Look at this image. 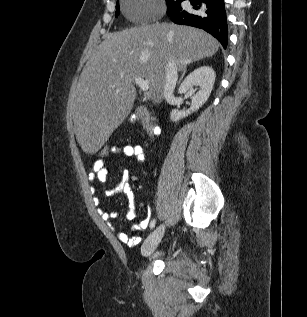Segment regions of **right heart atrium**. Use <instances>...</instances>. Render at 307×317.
<instances>
[{"instance_id":"1","label":"right heart atrium","mask_w":307,"mask_h":317,"mask_svg":"<svg viewBox=\"0 0 307 317\" xmlns=\"http://www.w3.org/2000/svg\"><path fill=\"white\" fill-rule=\"evenodd\" d=\"M140 2L135 6L131 16L134 19H142L150 17L154 14V10L150 7H147V3L150 0H139Z\"/></svg>"}]
</instances>
